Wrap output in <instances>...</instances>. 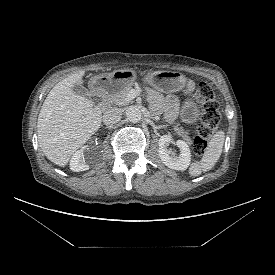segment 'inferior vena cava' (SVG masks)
Returning a JSON list of instances; mask_svg holds the SVG:
<instances>
[{"label":"inferior vena cava","instance_id":"602c4592","mask_svg":"<svg viewBox=\"0 0 275 275\" xmlns=\"http://www.w3.org/2000/svg\"><path fill=\"white\" fill-rule=\"evenodd\" d=\"M122 112L117 108H112L106 111L103 115V122L105 125H113L120 121Z\"/></svg>","mask_w":275,"mask_h":275}]
</instances>
